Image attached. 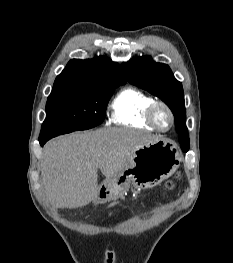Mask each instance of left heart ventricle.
Wrapping results in <instances>:
<instances>
[{"label":"left heart ventricle","mask_w":233,"mask_h":263,"mask_svg":"<svg viewBox=\"0 0 233 263\" xmlns=\"http://www.w3.org/2000/svg\"><path fill=\"white\" fill-rule=\"evenodd\" d=\"M156 119L161 127L163 128L168 127L170 118L168 113L163 108H158L156 112Z\"/></svg>","instance_id":"1"}]
</instances>
